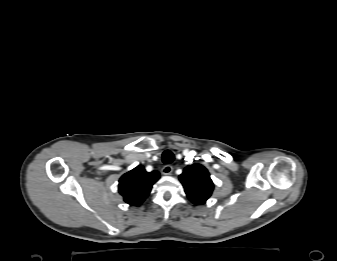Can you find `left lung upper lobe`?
Masks as SVG:
<instances>
[{
    "label": "left lung upper lobe",
    "instance_id": "obj_1",
    "mask_svg": "<svg viewBox=\"0 0 337 261\" xmlns=\"http://www.w3.org/2000/svg\"><path fill=\"white\" fill-rule=\"evenodd\" d=\"M179 180L187 197L195 205L204 204L214 189L208 170L200 164L187 166L179 176Z\"/></svg>",
    "mask_w": 337,
    "mask_h": 261
}]
</instances>
